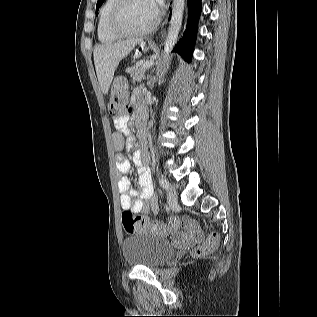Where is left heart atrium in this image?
<instances>
[{
	"instance_id": "obj_1",
	"label": "left heart atrium",
	"mask_w": 317,
	"mask_h": 317,
	"mask_svg": "<svg viewBox=\"0 0 317 317\" xmlns=\"http://www.w3.org/2000/svg\"><path fill=\"white\" fill-rule=\"evenodd\" d=\"M151 1H152L153 5L155 6V8H156L157 10H159V7H160L161 4H162V0H151Z\"/></svg>"
}]
</instances>
